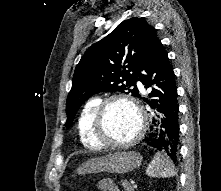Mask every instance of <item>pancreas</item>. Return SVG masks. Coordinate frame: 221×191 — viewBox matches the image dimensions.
Here are the masks:
<instances>
[{
  "mask_svg": "<svg viewBox=\"0 0 221 191\" xmlns=\"http://www.w3.org/2000/svg\"><path fill=\"white\" fill-rule=\"evenodd\" d=\"M122 186L124 187L126 191H135L134 186L127 180L122 181Z\"/></svg>",
  "mask_w": 221,
  "mask_h": 191,
  "instance_id": "pancreas-1",
  "label": "pancreas"
}]
</instances>
